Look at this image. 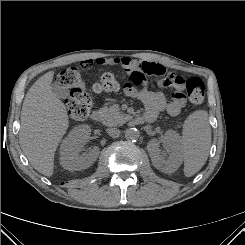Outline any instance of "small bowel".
Masks as SVG:
<instances>
[{
  "instance_id": "c3829d8e",
  "label": "small bowel",
  "mask_w": 245,
  "mask_h": 245,
  "mask_svg": "<svg viewBox=\"0 0 245 245\" xmlns=\"http://www.w3.org/2000/svg\"><path fill=\"white\" fill-rule=\"evenodd\" d=\"M96 64L97 66L120 65L129 74V82L124 84L123 91L127 96L133 97L145 106V116L154 120L160 112H166L171 116L180 114L186 105L184 95L185 80L183 77L168 72L166 68L158 63L134 59L130 57H113V58H96L93 60H84L81 62L83 68L88 69ZM133 73H140L144 76L142 84L134 85L130 81V76ZM147 76H163L159 81L160 87L172 88V99L168 101L161 91H151L147 87L145 80Z\"/></svg>"
}]
</instances>
